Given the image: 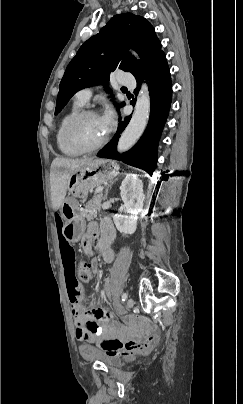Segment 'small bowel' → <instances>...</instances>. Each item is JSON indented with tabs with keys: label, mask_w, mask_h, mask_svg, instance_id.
<instances>
[{
	"label": "small bowel",
	"mask_w": 243,
	"mask_h": 404,
	"mask_svg": "<svg viewBox=\"0 0 243 404\" xmlns=\"http://www.w3.org/2000/svg\"><path fill=\"white\" fill-rule=\"evenodd\" d=\"M62 228L63 221L58 216L56 218V229L67 291L72 303L71 313L76 326V336L81 341L96 343L102 336L115 332L113 317L107 310L94 307L87 309L73 301L72 294L75 292L81 293V288L75 276V252L63 235ZM90 232L92 235H85L82 241L85 252L92 255L95 250H98L105 262H112L114 258L112 244L115 239V229L112 223L108 220L102 223L100 237L96 240V243H94V238H97L99 234L96 227L91 226ZM96 263L94 259L92 261L93 267H96Z\"/></svg>",
	"instance_id": "obj_1"
}]
</instances>
